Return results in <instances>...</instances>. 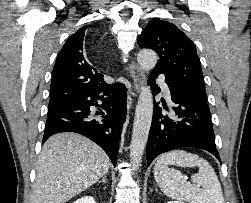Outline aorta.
<instances>
[{
    "label": "aorta",
    "instance_id": "762f6f07",
    "mask_svg": "<svg viewBox=\"0 0 251 203\" xmlns=\"http://www.w3.org/2000/svg\"><path fill=\"white\" fill-rule=\"evenodd\" d=\"M140 68L148 72L157 63V54L150 49H142L137 56ZM153 116V96L150 87L145 84L140 91L130 145V162L133 168H139L148 140Z\"/></svg>",
    "mask_w": 251,
    "mask_h": 203
}]
</instances>
